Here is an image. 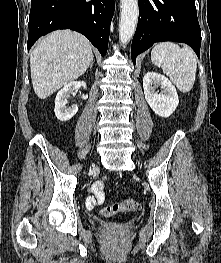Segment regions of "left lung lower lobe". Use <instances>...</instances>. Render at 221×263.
Listing matches in <instances>:
<instances>
[{
    "label": "left lung lower lobe",
    "mask_w": 221,
    "mask_h": 263,
    "mask_svg": "<svg viewBox=\"0 0 221 263\" xmlns=\"http://www.w3.org/2000/svg\"><path fill=\"white\" fill-rule=\"evenodd\" d=\"M139 19L131 46L133 63L138 54L160 41L186 43L200 57L201 29L195 0H138Z\"/></svg>",
    "instance_id": "obj_1"
}]
</instances>
